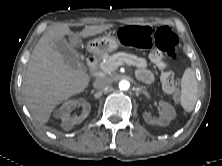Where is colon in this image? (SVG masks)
I'll use <instances>...</instances> for the list:
<instances>
[{
  "label": "colon",
  "instance_id": "obj_1",
  "mask_svg": "<svg viewBox=\"0 0 222 166\" xmlns=\"http://www.w3.org/2000/svg\"><path fill=\"white\" fill-rule=\"evenodd\" d=\"M118 38L123 44L137 48L147 49L154 45L160 51L172 57V59L177 60L179 58L177 52L179 39L168 26L157 28L126 26L118 31ZM162 84L164 88L171 90L174 100L179 102V87L171 71L167 70L163 73Z\"/></svg>",
  "mask_w": 222,
  "mask_h": 166
}]
</instances>
